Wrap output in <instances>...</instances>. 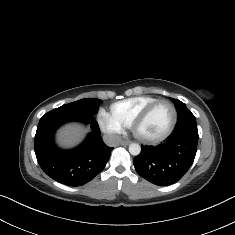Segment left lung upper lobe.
I'll use <instances>...</instances> for the list:
<instances>
[{
    "mask_svg": "<svg viewBox=\"0 0 235 235\" xmlns=\"http://www.w3.org/2000/svg\"><path fill=\"white\" fill-rule=\"evenodd\" d=\"M173 102L178 112L177 124L173 133L186 130L198 132L196 118L192 114V112L186 107L183 102L175 99H173Z\"/></svg>",
    "mask_w": 235,
    "mask_h": 235,
    "instance_id": "left-lung-upper-lobe-1",
    "label": "left lung upper lobe"
}]
</instances>
